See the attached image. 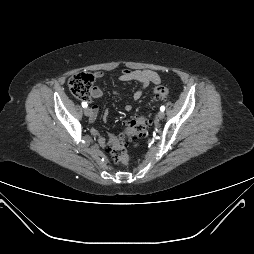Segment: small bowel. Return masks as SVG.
<instances>
[{
	"instance_id": "obj_1",
	"label": "small bowel",
	"mask_w": 254,
	"mask_h": 254,
	"mask_svg": "<svg viewBox=\"0 0 254 254\" xmlns=\"http://www.w3.org/2000/svg\"><path fill=\"white\" fill-rule=\"evenodd\" d=\"M95 78L99 79L103 77V72L102 71H97L94 74ZM118 79L122 82H128V81H137L141 84V87L136 90L133 93V99L135 101H138L141 99L143 95V90L147 88L150 84H155L158 85L161 82L160 75L150 69H123L121 74L119 75ZM115 95H120L119 92L114 91L113 92ZM103 95V91L100 87L96 86L92 89L91 91V97L92 98H100ZM132 109L130 104H127L125 106L126 111H130ZM98 113V107L97 105H92L91 106V115H90V121L93 122L96 118V115ZM104 118H107V112L104 114ZM92 134L97 136L98 142L102 147L106 146V139L101 136L96 130H92Z\"/></svg>"
}]
</instances>
